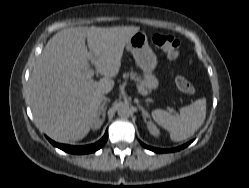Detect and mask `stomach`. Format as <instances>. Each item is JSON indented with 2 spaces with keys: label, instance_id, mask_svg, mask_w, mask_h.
I'll return each instance as SVG.
<instances>
[{
  "label": "stomach",
  "instance_id": "1",
  "mask_svg": "<svg viewBox=\"0 0 249 188\" xmlns=\"http://www.w3.org/2000/svg\"><path fill=\"white\" fill-rule=\"evenodd\" d=\"M126 49L131 52L136 64L143 71L144 87L148 90L156 89L159 83L153 71L157 66V57L148 44L147 35L138 31L128 40Z\"/></svg>",
  "mask_w": 249,
  "mask_h": 188
}]
</instances>
